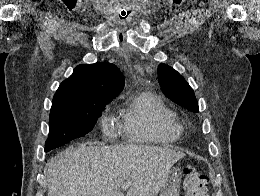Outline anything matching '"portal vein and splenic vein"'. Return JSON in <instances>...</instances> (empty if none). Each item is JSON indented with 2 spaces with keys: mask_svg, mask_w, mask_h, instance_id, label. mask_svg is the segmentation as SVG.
I'll use <instances>...</instances> for the list:
<instances>
[{
  "mask_svg": "<svg viewBox=\"0 0 260 196\" xmlns=\"http://www.w3.org/2000/svg\"><path fill=\"white\" fill-rule=\"evenodd\" d=\"M130 184H122V186H120L121 190H128Z\"/></svg>",
  "mask_w": 260,
  "mask_h": 196,
  "instance_id": "obj_1",
  "label": "portal vein and splenic vein"
}]
</instances>
